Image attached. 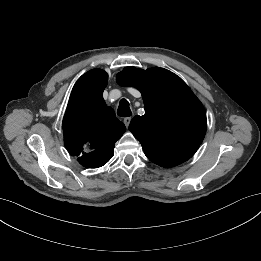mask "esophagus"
Here are the masks:
<instances>
[{
	"label": "esophagus",
	"mask_w": 261,
	"mask_h": 261,
	"mask_svg": "<svg viewBox=\"0 0 261 261\" xmlns=\"http://www.w3.org/2000/svg\"><path fill=\"white\" fill-rule=\"evenodd\" d=\"M131 120H132L131 117H126V118H124L123 122H124L126 128H128V126L130 125Z\"/></svg>",
	"instance_id": "esophagus-1"
}]
</instances>
